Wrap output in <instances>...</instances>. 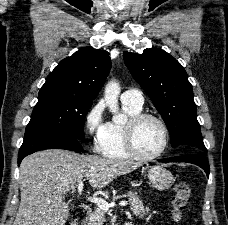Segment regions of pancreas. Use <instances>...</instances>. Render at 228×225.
I'll return each instance as SVG.
<instances>
[{
    "instance_id": "1",
    "label": "pancreas",
    "mask_w": 228,
    "mask_h": 225,
    "mask_svg": "<svg viewBox=\"0 0 228 225\" xmlns=\"http://www.w3.org/2000/svg\"><path fill=\"white\" fill-rule=\"evenodd\" d=\"M127 195L129 197L130 209L133 211L135 217H144L146 213H149V207H143L144 203H142L141 199L137 197V193H131V191H128ZM104 217L105 213L102 209L89 211V215L85 217L83 225H104Z\"/></svg>"
}]
</instances>
